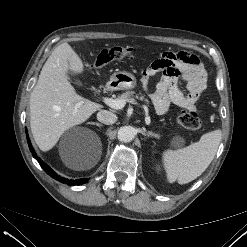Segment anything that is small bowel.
Listing matches in <instances>:
<instances>
[{"instance_id":"c3829d8e","label":"small bowel","mask_w":247,"mask_h":247,"mask_svg":"<svg viewBox=\"0 0 247 247\" xmlns=\"http://www.w3.org/2000/svg\"><path fill=\"white\" fill-rule=\"evenodd\" d=\"M162 72V78L150 93L155 111L165 114L171 104L186 110H195L206 88V71L197 56L187 52H164L143 73L142 83L147 88L148 78ZM186 83L187 93L179 86Z\"/></svg>"}]
</instances>
